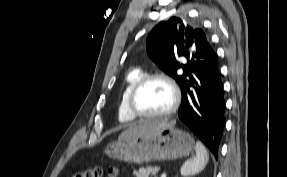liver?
Instances as JSON below:
<instances>
[{
  "label": "liver",
  "mask_w": 287,
  "mask_h": 177,
  "mask_svg": "<svg viewBox=\"0 0 287 177\" xmlns=\"http://www.w3.org/2000/svg\"><path fill=\"white\" fill-rule=\"evenodd\" d=\"M175 121L172 122H164L159 120H149L142 121L138 124H134L127 128L124 132L121 133L119 138H128L137 135H143L151 132H155L166 126H174Z\"/></svg>",
  "instance_id": "liver-1"
}]
</instances>
